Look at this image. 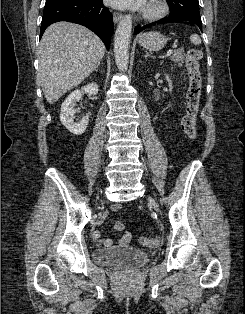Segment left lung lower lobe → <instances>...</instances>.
<instances>
[{
    "mask_svg": "<svg viewBox=\"0 0 245 314\" xmlns=\"http://www.w3.org/2000/svg\"><path fill=\"white\" fill-rule=\"evenodd\" d=\"M182 21H191L193 23H195L200 30H202V22H201V18H195V17H191V16H185V15H179V16H173V15H169V17L164 18V19H160L158 21H155L153 23H150L148 25L145 26H136L134 33L138 34L139 32L143 31L144 29H146L147 27H149L150 25L153 24H157V23H174V22H182Z\"/></svg>",
    "mask_w": 245,
    "mask_h": 314,
    "instance_id": "0a47b994",
    "label": "left lung lower lobe"
}]
</instances>
